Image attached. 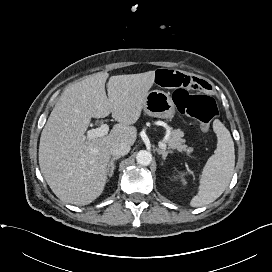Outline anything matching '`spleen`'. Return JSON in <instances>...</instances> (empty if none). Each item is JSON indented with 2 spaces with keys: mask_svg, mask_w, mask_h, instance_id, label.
Returning <instances> with one entry per match:
<instances>
[{
  "mask_svg": "<svg viewBox=\"0 0 272 272\" xmlns=\"http://www.w3.org/2000/svg\"><path fill=\"white\" fill-rule=\"evenodd\" d=\"M217 136V148L203 168L199 191L190 201L192 207H201L214 202L228 187L234 173L235 151L231 134L218 119L213 121Z\"/></svg>",
  "mask_w": 272,
  "mask_h": 272,
  "instance_id": "obj_1",
  "label": "spleen"
}]
</instances>
